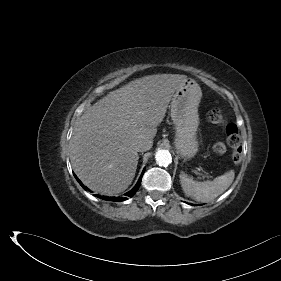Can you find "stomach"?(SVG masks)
Segmentation results:
<instances>
[{
    "label": "stomach",
    "mask_w": 281,
    "mask_h": 281,
    "mask_svg": "<svg viewBox=\"0 0 281 281\" xmlns=\"http://www.w3.org/2000/svg\"><path fill=\"white\" fill-rule=\"evenodd\" d=\"M202 97L200 86L188 78L175 91L171 102V118L175 126V148L184 159L198 152V106Z\"/></svg>",
    "instance_id": "1"
}]
</instances>
